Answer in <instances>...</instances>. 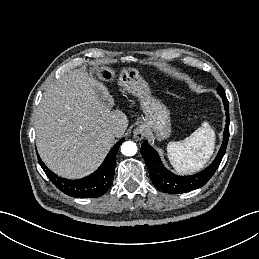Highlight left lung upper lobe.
Returning a JSON list of instances; mask_svg holds the SVG:
<instances>
[{"label": "left lung upper lobe", "mask_w": 259, "mask_h": 259, "mask_svg": "<svg viewBox=\"0 0 259 259\" xmlns=\"http://www.w3.org/2000/svg\"><path fill=\"white\" fill-rule=\"evenodd\" d=\"M217 92L219 95L225 94V91L223 90V87L220 84L218 85Z\"/></svg>", "instance_id": "1"}]
</instances>
